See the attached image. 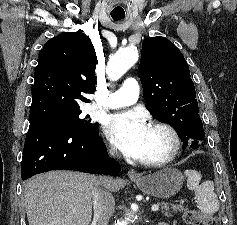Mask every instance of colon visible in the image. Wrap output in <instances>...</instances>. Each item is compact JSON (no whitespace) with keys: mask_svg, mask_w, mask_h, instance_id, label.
I'll return each instance as SVG.
<instances>
[{"mask_svg":"<svg viewBox=\"0 0 237 225\" xmlns=\"http://www.w3.org/2000/svg\"><path fill=\"white\" fill-rule=\"evenodd\" d=\"M183 217L188 225H219L214 215L201 214L194 209L186 210Z\"/></svg>","mask_w":237,"mask_h":225,"instance_id":"1","label":"colon"}]
</instances>
